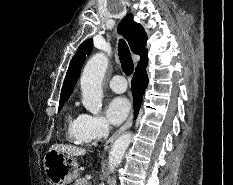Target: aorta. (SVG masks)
<instances>
[{
    "label": "aorta",
    "instance_id": "obj_1",
    "mask_svg": "<svg viewBox=\"0 0 233 185\" xmlns=\"http://www.w3.org/2000/svg\"><path fill=\"white\" fill-rule=\"evenodd\" d=\"M108 66V58L103 53L94 55L86 64L81 76L83 106L93 115L102 109V81ZM132 140L131 132L123 133L112 145L109 153L108 168L114 172L120 165L123 156Z\"/></svg>",
    "mask_w": 233,
    "mask_h": 185
}]
</instances>
